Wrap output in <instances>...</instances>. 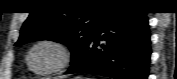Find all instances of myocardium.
I'll use <instances>...</instances> for the list:
<instances>
[{
    "label": "myocardium",
    "mask_w": 177,
    "mask_h": 79,
    "mask_svg": "<svg viewBox=\"0 0 177 79\" xmlns=\"http://www.w3.org/2000/svg\"><path fill=\"white\" fill-rule=\"evenodd\" d=\"M43 45L54 47L58 51V54H59L58 63L52 69L47 70V71L37 70L36 68H34V66L31 63L32 53L34 52L35 49ZM71 57H72L71 49L64 42L55 40V39H43V40L36 42L29 49L27 53V57H26V62H27L29 69L33 71L34 73L40 74V75H51V74L57 73L61 71L62 69H64L69 64Z\"/></svg>",
    "instance_id": "myocardium-1"
}]
</instances>
